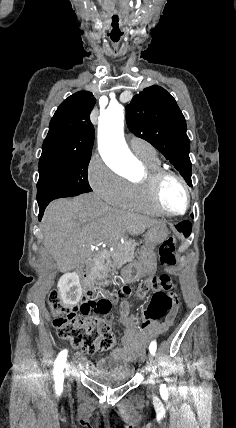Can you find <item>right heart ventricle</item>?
Listing matches in <instances>:
<instances>
[{
    "instance_id": "1",
    "label": "right heart ventricle",
    "mask_w": 236,
    "mask_h": 428,
    "mask_svg": "<svg viewBox=\"0 0 236 428\" xmlns=\"http://www.w3.org/2000/svg\"><path fill=\"white\" fill-rule=\"evenodd\" d=\"M147 167V174H152L159 171L161 164L156 156L153 157H138ZM122 208L128 210L139 211L160 218H165L167 215L160 212L152 203L148 193L147 182L145 177L128 183V192Z\"/></svg>"
}]
</instances>
